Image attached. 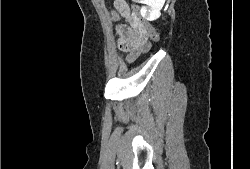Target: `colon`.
Listing matches in <instances>:
<instances>
[{
  "label": "colon",
  "mask_w": 250,
  "mask_h": 169,
  "mask_svg": "<svg viewBox=\"0 0 250 169\" xmlns=\"http://www.w3.org/2000/svg\"><path fill=\"white\" fill-rule=\"evenodd\" d=\"M116 7L121 10V12L125 14H129V10L126 6V4L123 1H117ZM133 12L136 13V19L141 23V25H146L145 27L139 28L137 39L141 43L147 42L148 38H151L153 40H158V34L155 30V26H153V23H149L146 18H144V10H142V5H139L137 3H132ZM160 42L159 40L157 41Z\"/></svg>",
  "instance_id": "colon-1"
}]
</instances>
